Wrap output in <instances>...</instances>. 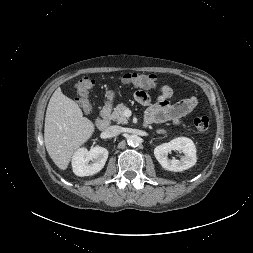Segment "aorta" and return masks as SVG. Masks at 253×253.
Here are the masks:
<instances>
[{"mask_svg":"<svg viewBox=\"0 0 253 253\" xmlns=\"http://www.w3.org/2000/svg\"><path fill=\"white\" fill-rule=\"evenodd\" d=\"M127 142L128 145L135 147L140 144L141 138L138 135L132 134L128 136Z\"/></svg>","mask_w":253,"mask_h":253,"instance_id":"aorta-1","label":"aorta"}]
</instances>
